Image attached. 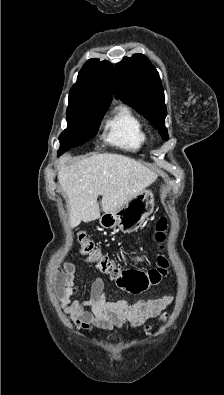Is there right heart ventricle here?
I'll return each instance as SVG.
<instances>
[{
    "instance_id": "right-heart-ventricle-1",
    "label": "right heart ventricle",
    "mask_w": 224,
    "mask_h": 395,
    "mask_svg": "<svg viewBox=\"0 0 224 395\" xmlns=\"http://www.w3.org/2000/svg\"><path fill=\"white\" fill-rule=\"evenodd\" d=\"M104 140L121 149L137 152L148 142L143 123L127 106H118L105 124Z\"/></svg>"
}]
</instances>
